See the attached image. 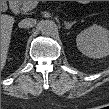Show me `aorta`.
<instances>
[{
    "mask_svg": "<svg viewBox=\"0 0 109 109\" xmlns=\"http://www.w3.org/2000/svg\"><path fill=\"white\" fill-rule=\"evenodd\" d=\"M57 25L51 20H44L40 22V31L43 35L51 36L57 32Z\"/></svg>",
    "mask_w": 109,
    "mask_h": 109,
    "instance_id": "aorta-1",
    "label": "aorta"
}]
</instances>
